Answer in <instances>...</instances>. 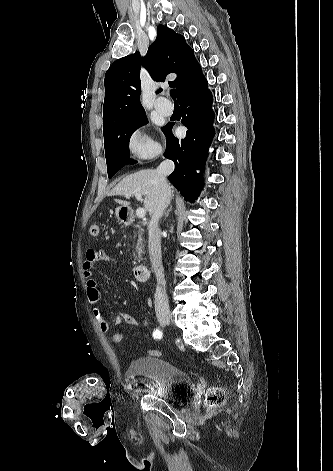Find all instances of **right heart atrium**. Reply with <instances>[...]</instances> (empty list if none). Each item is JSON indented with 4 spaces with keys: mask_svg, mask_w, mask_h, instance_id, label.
<instances>
[{
    "mask_svg": "<svg viewBox=\"0 0 333 471\" xmlns=\"http://www.w3.org/2000/svg\"><path fill=\"white\" fill-rule=\"evenodd\" d=\"M127 147L128 151L133 156L139 158H151L160 151L159 145L140 129H136L130 133Z\"/></svg>",
    "mask_w": 333,
    "mask_h": 471,
    "instance_id": "d8ad5b80",
    "label": "right heart atrium"
}]
</instances>
